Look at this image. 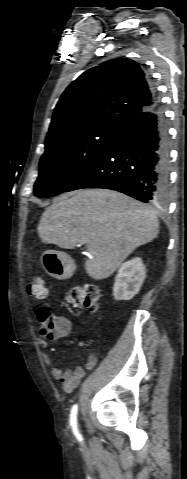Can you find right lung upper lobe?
I'll return each instance as SVG.
<instances>
[{"label": "right lung upper lobe", "instance_id": "right-lung-upper-lobe-1", "mask_svg": "<svg viewBox=\"0 0 187 479\" xmlns=\"http://www.w3.org/2000/svg\"><path fill=\"white\" fill-rule=\"evenodd\" d=\"M157 96L142 68L127 58L91 68L72 82L57 103L45 143L69 131L91 126L122 129L152 108Z\"/></svg>", "mask_w": 187, "mask_h": 479}]
</instances>
